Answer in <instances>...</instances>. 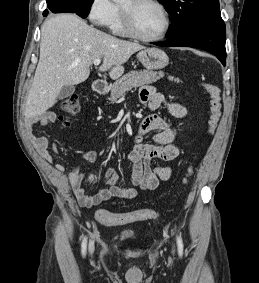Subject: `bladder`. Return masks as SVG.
<instances>
[{
	"label": "bladder",
	"mask_w": 259,
	"mask_h": 283,
	"mask_svg": "<svg viewBox=\"0 0 259 283\" xmlns=\"http://www.w3.org/2000/svg\"><path fill=\"white\" fill-rule=\"evenodd\" d=\"M120 235L123 238H131L134 235V232L131 229H124L121 231Z\"/></svg>",
	"instance_id": "31cf9c89"
}]
</instances>
